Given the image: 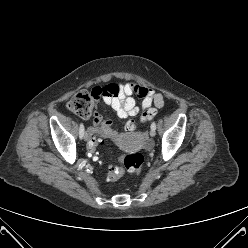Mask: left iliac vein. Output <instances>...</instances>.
Segmentation results:
<instances>
[{
	"label": "left iliac vein",
	"instance_id": "obj_1",
	"mask_svg": "<svg viewBox=\"0 0 248 248\" xmlns=\"http://www.w3.org/2000/svg\"><path fill=\"white\" fill-rule=\"evenodd\" d=\"M150 136L151 137H154L155 136V130H152V129L150 130Z\"/></svg>",
	"mask_w": 248,
	"mask_h": 248
}]
</instances>
